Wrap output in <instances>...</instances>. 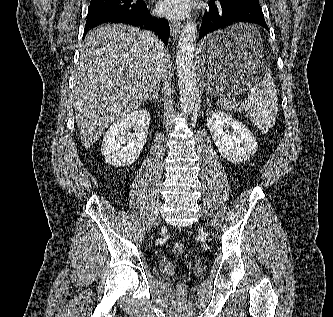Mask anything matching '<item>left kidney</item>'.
<instances>
[{
	"mask_svg": "<svg viewBox=\"0 0 333 317\" xmlns=\"http://www.w3.org/2000/svg\"><path fill=\"white\" fill-rule=\"evenodd\" d=\"M207 126L220 155L228 161L247 160L257 151L258 144L251 131L226 112L209 111Z\"/></svg>",
	"mask_w": 333,
	"mask_h": 317,
	"instance_id": "5707ae66",
	"label": "left kidney"
}]
</instances>
